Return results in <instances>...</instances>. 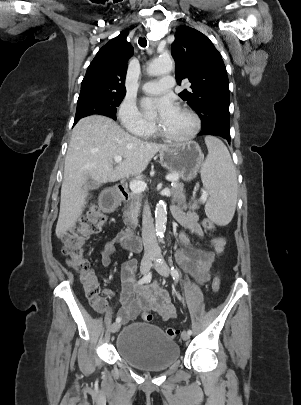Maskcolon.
I'll return each mask as SVG.
<instances>
[{
	"label": "colon",
	"mask_w": 301,
	"mask_h": 405,
	"mask_svg": "<svg viewBox=\"0 0 301 405\" xmlns=\"http://www.w3.org/2000/svg\"><path fill=\"white\" fill-rule=\"evenodd\" d=\"M107 223V213H100L98 208L90 207L81 218L80 223L63 235V254L67 258V263L80 275L86 295L98 311L105 310V302L101 297L97 278L90 268V262L85 253V245L91 238L100 235ZM202 226L208 231L215 228L214 223L208 219L203 220ZM220 284L219 276H215L211 283L213 292H218ZM143 319L150 322L153 320V315L145 312ZM166 333L172 339L179 336V330L174 328L167 329Z\"/></svg>",
	"instance_id": "1"
}]
</instances>
